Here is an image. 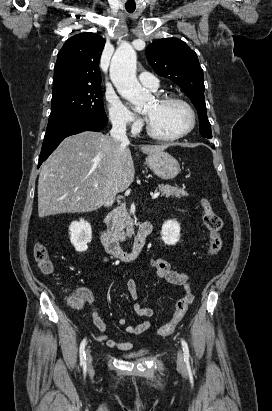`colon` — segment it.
<instances>
[{
    "instance_id": "5ec220e1",
    "label": "colon",
    "mask_w": 272,
    "mask_h": 411,
    "mask_svg": "<svg viewBox=\"0 0 272 411\" xmlns=\"http://www.w3.org/2000/svg\"><path fill=\"white\" fill-rule=\"evenodd\" d=\"M200 207L202 210L204 223L209 231L210 236L208 254L214 256L220 252L223 246V221L221 217L213 210L212 206L206 198H202L200 200ZM34 257L40 271L43 274L49 275L53 272V262L45 245L38 243L35 246ZM85 299V294L78 292L73 296V303L76 306H80L85 301ZM191 302L192 301L189 296L180 298L175 305L172 319L168 323L159 327L157 334L159 336H167L172 334L179 322L184 317Z\"/></svg>"
}]
</instances>
